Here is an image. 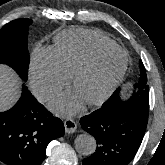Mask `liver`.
<instances>
[{
  "label": "liver",
  "mask_w": 165,
  "mask_h": 165,
  "mask_svg": "<svg viewBox=\"0 0 165 165\" xmlns=\"http://www.w3.org/2000/svg\"><path fill=\"white\" fill-rule=\"evenodd\" d=\"M20 81L15 72L0 64V111L11 108L19 99Z\"/></svg>",
  "instance_id": "obj_1"
}]
</instances>
